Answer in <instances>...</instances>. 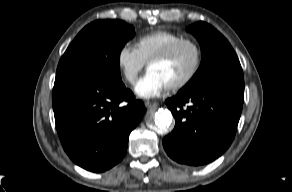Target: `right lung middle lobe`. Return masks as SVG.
Masks as SVG:
<instances>
[{"instance_id": "obj_1", "label": "right lung middle lobe", "mask_w": 292, "mask_h": 192, "mask_svg": "<svg viewBox=\"0 0 292 192\" xmlns=\"http://www.w3.org/2000/svg\"><path fill=\"white\" fill-rule=\"evenodd\" d=\"M134 28L121 20H97L81 30L61 57L57 72L88 73L122 83L119 56Z\"/></svg>"}]
</instances>
